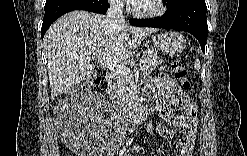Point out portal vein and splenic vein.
I'll return each instance as SVG.
<instances>
[{
    "label": "portal vein and splenic vein",
    "instance_id": "1",
    "mask_svg": "<svg viewBox=\"0 0 247 156\" xmlns=\"http://www.w3.org/2000/svg\"><path fill=\"white\" fill-rule=\"evenodd\" d=\"M98 62L102 67L108 68L116 74L128 75V73H130V70L122 64L112 63L110 61H106L105 59H100Z\"/></svg>",
    "mask_w": 247,
    "mask_h": 156
}]
</instances>
